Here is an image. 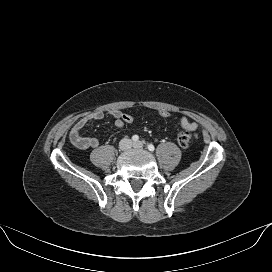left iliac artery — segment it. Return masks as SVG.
<instances>
[{"label":"left iliac artery","mask_w":272,"mask_h":272,"mask_svg":"<svg viewBox=\"0 0 272 272\" xmlns=\"http://www.w3.org/2000/svg\"><path fill=\"white\" fill-rule=\"evenodd\" d=\"M147 148L149 149V151H154L155 150V147L153 144H148Z\"/></svg>","instance_id":"obj_1"}]
</instances>
